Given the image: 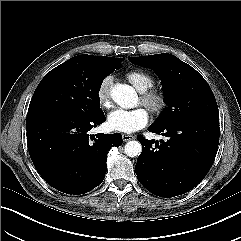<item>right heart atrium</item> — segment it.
Returning <instances> with one entry per match:
<instances>
[{"mask_svg":"<svg viewBox=\"0 0 241 241\" xmlns=\"http://www.w3.org/2000/svg\"><path fill=\"white\" fill-rule=\"evenodd\" d=\"M112 84V78L110 76H106L100 82L96 96L97 100L102 108L108 109L112 106L110 88Z\"/></svg>","mask_w":241,"mask_h":241,"instance_id":"right-heart-atrium-1","label":"right heart atrium"}]
</instances>
